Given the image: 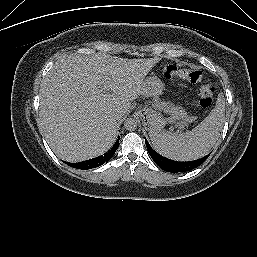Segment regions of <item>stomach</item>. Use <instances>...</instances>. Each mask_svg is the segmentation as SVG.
Here are the masks:
<instances>
[{
    "label": "stomach",
    "instance_id": "obj_1",
    "mask_svg": "<svg viewBox=\"0 0 257 257\" xmlns=\"http://www.w3.org/2000/svg\"><path fill=\"white\" fill-rule=\"evenodd\" d=\"M166 90L165 84L156 76H151L144 81V95L159 96ZM143 120L147 122L151 130H160L166 124V119L148 109L139 111Z\"/></svg>",
    "mask_w": 257,
    "mask_h": 257
}]
</instances>
